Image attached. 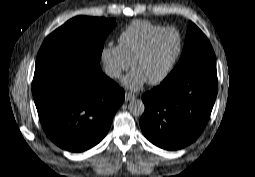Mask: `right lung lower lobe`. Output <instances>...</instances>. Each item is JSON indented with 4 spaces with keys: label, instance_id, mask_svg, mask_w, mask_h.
<instances>
[{
    "label": "right lung lower lobe",
    "instance_id": "right-lung-lower-lobe-1",
    "mask_svg": "<svg viewBox=\"0 0 255 177\" xmlns=\"http://www.w3.org/2000/svg\"><path fill=\"white\" fill-rule=\"evenodd\" d=\"M32 93L44 131L71 152L98 144L124 101V90L101 68L67 62L36 67Z\"/></svg>",
    "mask_w": 255,
    "mask_h": 177
}]
</instances>
